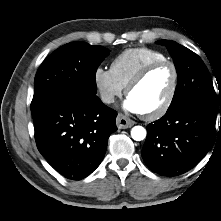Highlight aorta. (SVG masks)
Here are the masks:
<instances>
[{
	"label": "aorta",
	"mask_w": 221,
	"mask_h": 221,
	"mask_svg": "<svg viewBox=\"0 0 221 221\" xmlns=\"http://www.w3.org/2000/svg\"><path fill=\"white\" fill-rule=\"evenodd\" d=\"M131 137L135 141H141L146 137V130L142 126H134L131 130Z\"/></svg>",
	"instance_id": "aorta-1"
}]
</instances>
